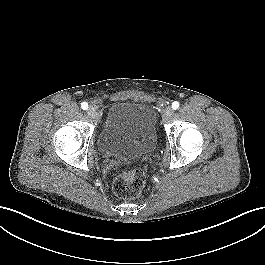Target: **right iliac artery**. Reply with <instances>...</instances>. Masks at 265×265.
<instances>
[{"instance_id":"82829eb1","label":"right iliac artery","mask_w":265,"mask_h":265,"mask_svg":"<svg viewBox=\"0 0 265 265\" xmlns=\"http://www.w3.org/2000/svg\"><path fill=\"white\" fill-rule=\"evenodd\" d=\"M81 108H82L83 110H87V109H88V103H87V102H83V103H81Z\"/></svg>"}]
</instances>
